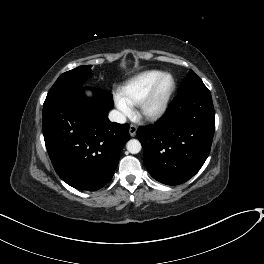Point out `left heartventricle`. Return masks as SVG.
Masks as SVG:
<instances>
[{
	"label": "left heart ventricle",
	"instance_id": "1",
	"mask_svg": "<svg viewBox=\"0 0 264 264\" xmlns=\"http://www.w3.org/2000/svg\"><path fill=\"white\" fill-rule=\"evenodd\" d=\"M169 87V81L168 80H164L159 89H158V92H157V95L155 97V99L153 100L151 106H154L162 97L163 95L165 94L166 90L168 89Z\"/></svg>",
	"mask_w": 264,
	"mask_h": 264
}]
</instances>
